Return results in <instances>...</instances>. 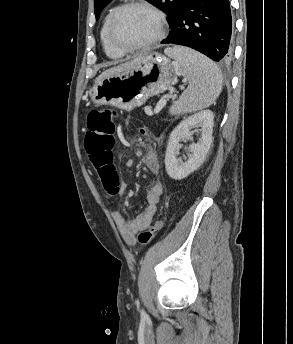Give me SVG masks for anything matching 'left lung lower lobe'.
Here are the masks:
<instances>
[{"label": "left lung lower lobe", "instance_id": "1", "mask_svg": "<svg viewBox=\"0 0 293 344\" xmlns=\"http://www.w3.org/2000/svg\"><path fill=\"white\" fill-rule=\"evenodd\" d=\"M229 0H181L168 37L161 43L193 48L214 61L232 57Z\"/></svg>", "mask_w": 293, "mask_h": 344}]
</instances>
